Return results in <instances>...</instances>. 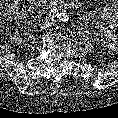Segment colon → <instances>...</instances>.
<instances>
[{"label": "colon", "instance_id": "colon-1", "mask_svg": "<svg viewBox=\"0 0 118 118\" xmlns=\"http://www.w3.org/2000/svg\"><path fill=\"white\" fill-rule=\"evenodd\" d=\"M31 9V0H0V15L6 18L26 14Z\"/></svg>", "mask_w": 118, "mask_h": 118}]
</instances>
